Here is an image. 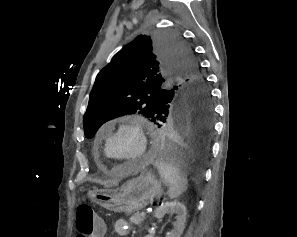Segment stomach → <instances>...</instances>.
<instances>
[{"label":"stomach","mask_w":297,"mask_h":237,"mask_svg":"<svg viewBox=\"0 0 297 237\" xmlns=\"http://www.w3.org/2000/svg\"><path fill=\"white\" fill-rule=\"evenodd\" d=\"M162 194L161 181L150 171L128 180L118 189L93 190L88 193L94 202L105 209L125 214L142 210Z\"/></svg>","instance_id":"1"}]
</instances>
